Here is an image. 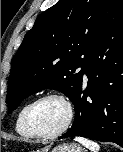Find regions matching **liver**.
Masks as SVG:
<instances>
[{
	"instance_id": "liver-1",
	"label": "liver",
	"mask_w": 123,
	"mask_h": 152,
	"mask_svg": "<svg viewBox=\"0 0 123 152\" xmlns=\"http://www.w3.org/2000/svg\"><path fill=\"white\" fill-rule=\"evenodd\" d=\"M48 150H49V147H45L41 150H37V152H48Z\"/></svg>"
}]
</instances>
